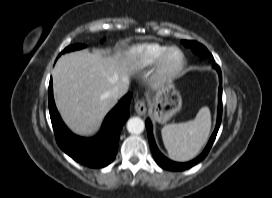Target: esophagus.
Returning <instances> with one entry per match:
<instances>
[{
	"instance_id": "34e87169",
	"label": "esophagus",
	"mask_w": 272,
	"mask_h": 198,
	"mask_svg": "<svg viewBox=\"0 0 272 198\" xmlns=\"http://www.w3.org/2000/svg\"><path fill=\"white\" fill-rule=\"evenodd\" d=\"M134 109L138 115H144L147 111L144 100H137L135 102Z\"/></svg>"
}]
</instances>
